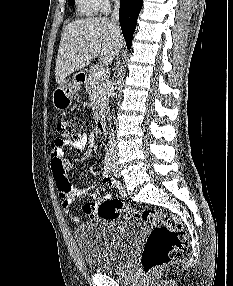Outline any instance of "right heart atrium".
<instances>
[{"label": "right heart atrium", "mask_w": 233, "mask_h": 286, "mask_svg": "<svg viewBox=\"0 0 233 286\" xmlns=\"http://www.w3.org/2000/svg\"><path fill=\"white\" fill-rule=\"evenodd\" d=\"M101 10H107L110 6V0H97Z\"/></svg>", "instance_id": "obj_1"}]
</instances>
